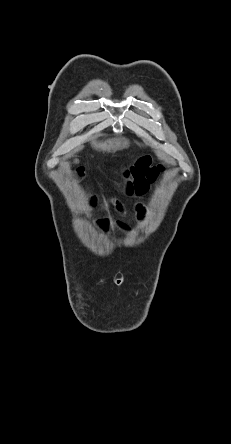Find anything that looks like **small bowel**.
<instances>
[{
    "instance_id": "small-bowel-1",
    "label": "small bowel",
    "mask_w": 231,
    "mask_h": 444,
    "mask_svg": "<svg viewBox=\"0 0 231 444\" xmlns=\"http://www.w3.org/2000/svg\"><path fill=\"white\" fill-rule=\"evenodd\" d=\"M116 206H117V209L119 210V212H123V207L121 205L118 204ZM104 225L109 226L110 225V221L109 220L104 221ZM116 225L119 226V227H122V228L125 226L121 221H118Z\"/></svg>"
}]
</instances>
